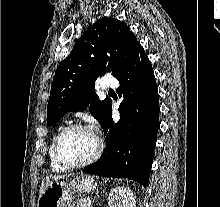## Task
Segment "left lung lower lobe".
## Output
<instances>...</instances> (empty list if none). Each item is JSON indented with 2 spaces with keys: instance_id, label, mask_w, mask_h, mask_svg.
I'll use <instances>...</instances> for the list:
<instances>
[{
  "instance_id": "left-lung-lower-lobe-1",
  "label": "left lung lower lobe",
  "mask_w": 220,
  "mask_h": 207,
  "mask_svg": "<svg viewBox=\"0 0 220 207\" xmlns=\"http://www.w3.org/2000/svg\"><path fill=\"white\" fill-rule=\"evenodd\" d=\"M124 97L120 120H112V103L102 124L106 147L100 159L84 172L104 177L132 179L143 186L149 181L159 128L158 89L152 65L140 43L116 76Z\"/></svg>"
}]
</instances>
